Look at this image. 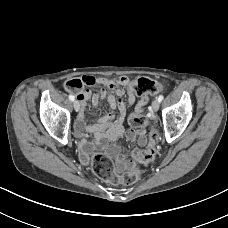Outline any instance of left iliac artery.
Here are the masks:
<instances>
[{"instance_id":"left-iliac-artery-1","label":"left iliac artery","mask_w":228,"mask_h":228,"mask_svg":"<svg viewBox=\"0 0 228 228\" xmlns=\"http://www.w3.org/2000/svg\"><path fill=\"white\" fill-rule=\"evenodd\" d=\"M164 96L163 95H159L158 97V101L161 102L163 100Z\"/></svg>"}]
</instances>
